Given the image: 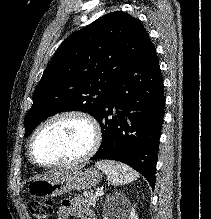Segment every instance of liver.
Returning <instances> with one entry per match:
<instances>
[{"instance_id":"obj_1","label":"liver","mask_w":211,"mask_h":219,"mask_svg":"<svg viewBox=\"0 0 211 219\" xmlns=\"http://www.w3.org/2000/svg\"><path fill=\"white\" fill-rule=\"evenodd\" d=\"M60 173V171H58V172H52L49 176H47V177H50V176H52V175H54V174H59ZM47 177H45V178H47Z\"/></svg>"}]
</instances>
